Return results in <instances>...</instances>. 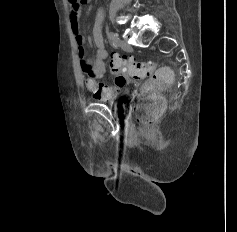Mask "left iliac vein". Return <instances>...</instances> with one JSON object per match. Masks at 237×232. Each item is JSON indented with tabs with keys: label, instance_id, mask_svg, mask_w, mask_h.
<instances>
[{
	"label": "left iliac vein",
	"instance_id": "left-iliac-vein-1",
	"mask_svg": "<svg viewBox=\"0 0 237 232\" xmlns=\"http://www.w3.org/2000/svg\"><path fill=\"white\" fill-rule=\"evenodd\" d=\"M120 45H121V48L125 51L131 50V46L124 40L121 41Z\"/></svg>",
	"mask_w": 237,
	"mask_h": 232
}]
</instances>
